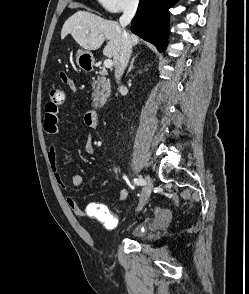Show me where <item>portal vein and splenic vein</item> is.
<instances>
[{
	"mask_svg": "<svg viewBox=\"0 0 249 294\" xmlns=\"http://www.w3.org/2000/svg\"><path fill=\"white\" fill-rule=\"evenodd\" d=\"M112 65H113V62H112L111 59H106V60L104 61V67H106V68H111Z\"/></svg>",
	"mask_w": 249,
	"mask_h": 294,
	"instance_id": "portal-vein-and-splenic-vein-1",
	"label": "portal vein and splenic vein"
}]
</instances>
